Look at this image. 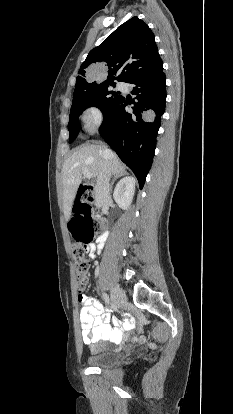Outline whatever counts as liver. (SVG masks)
I'll use <instances>...</instances> for the list:
<instances>
[{
  "instance_id": "liver-1",
  "label": "liver",
  "mask_w": 233,
  "mask_h": 414,
  "mask_svg": "<svg viewBox=\"0 0 233 414\" xmlns=\"http://www.w3.org/2000/svg\"><path fill=\"white\" fill-rule=\"evenodd\" d=\"M106 160L111 162V174L116 175L125 171V166L118 156L100 142L81 147L65 160L62 167V183L63 211L66 218L71 214L76 193L83 177L89 173L91 178H96Z\"/></svg>"
}]
</instances>
